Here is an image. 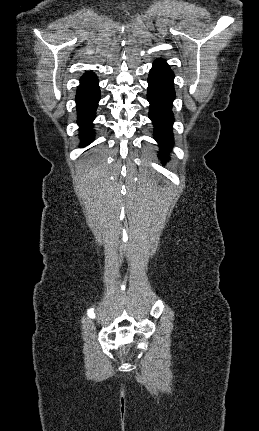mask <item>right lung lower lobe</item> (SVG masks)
I'll return each instance as SVG.
<instances>
[{
	"label": "right lung lower lobe",
	"instance_id": "98d812e1",
	"mask_svg": "<svg viewBox=\"0 0 259 431\" xmlns=\"http://www.w3.org/2000/svg\"><path fill=\"white\" fill-rule=\"evenodd\" d=\"M100 99L98 79L93 72H87L80 80L77 89L76 104L78 124L80 126L81 146L84 147L93 141L94 132L92 121Z\"/></svg>",
	"mask_w": 259,
	"mask_h": 431
}]
</instances>
